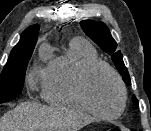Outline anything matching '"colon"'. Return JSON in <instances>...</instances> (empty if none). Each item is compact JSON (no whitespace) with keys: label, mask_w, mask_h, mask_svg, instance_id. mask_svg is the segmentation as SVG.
Wrapping results in <instances>:
<instances>
[{"label":"colon","mask_w":151,"mask_h":131,"mask_svg":"<svg viewBox=\"0 0 151 131\" xmlns=\"http://www.w3.org/2000/svg\"><path fill=\"white\" fill-rule=\"evenodd\" d=\"M108 131H126V130H124L122 128H118V127H113L111 129H109Z\"/></svg>","instance_id":"1"}]
</instances>
